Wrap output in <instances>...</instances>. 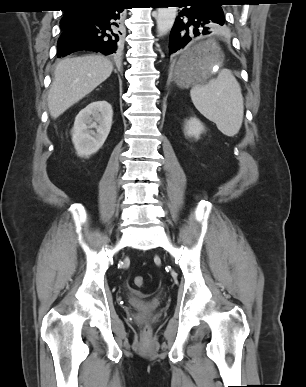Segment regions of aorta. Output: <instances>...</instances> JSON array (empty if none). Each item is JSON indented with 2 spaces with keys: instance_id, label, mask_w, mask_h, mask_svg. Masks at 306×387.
I'll return each instance as SVG.
<instances>
[{
  "instance_id": "obj_1",
  "label": "aorta",
  "mask_w": 306,
  "mask_h": 387,
  "mask_svg": "<svg viewBox=\"0 0 306 387\" xmlns=\"http://www.w3.org/2000/svg\"><path fill=\"white\" fill-rule=\"evenodd\" d=\"M177 15V7H159L157 10V32L166 35L173 27Z\"/></svg>"
}]
</instances>
